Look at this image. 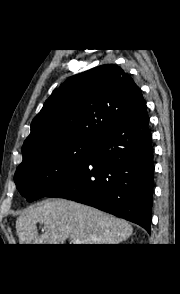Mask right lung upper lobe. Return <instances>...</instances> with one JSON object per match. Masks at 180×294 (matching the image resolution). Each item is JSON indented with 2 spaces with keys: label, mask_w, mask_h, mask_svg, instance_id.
<instances>
[{
  "label": "right lung upper lobe",
  "mask_w": 180,
  "mask_h": 294,
  "mask_svg": "<svg viewBox=\"0 0 180 294\" xmlns=\"http://www.w3.org/2000/svg\"><path fill=\"white\" fill-rule=\"evenodd\" d=\"M144 102L133 79L116 65L72 76L53 91L33 119L22 146L23 161L45 147L95 142Z\"/></svg>",
  "instance_id": "cb5924a9"
}]
</instances>
